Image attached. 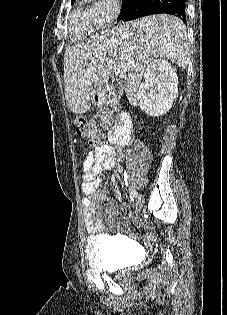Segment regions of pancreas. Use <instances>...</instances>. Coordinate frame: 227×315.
<instances>
[{
  "label": "pancreas",
  "mask_w": 227,
  "mask_h": 315,
  "mask_svg": "<svg viewBox=\"0 0 227 315\" xmlns=\"http://www.w3.org/2000/svg\"><path fill=\"white\" fill-rule=\"evenodd\" d=\"M101 121L105 127H110L112 121V111L108 108L107 104L101 109Z\"/></svg>",
  "instance_id": "cf45deb5"
}]
</instances>
